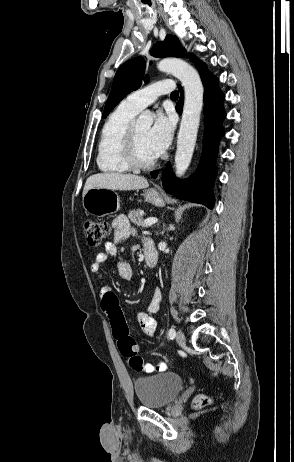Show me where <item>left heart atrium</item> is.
I'll use <instances>...</instances> for the list:
<instances>
[{"instance_id":"left-heart-atrium-1","label":"left heart atrium","mask_w":294,"mask_h":462,"mask_svg":"<svg viewBox=\"0 0 294 462\" xmlns=\"http://www.w3.org/2000/svg\"><path fill=\"white\" fill-rule=\"evenodd\" d=\"M173 132V118L170 115L158 113L148 132L149 144L156 156L161 155L169 146Z\"/></svg>"}]
</instances>
